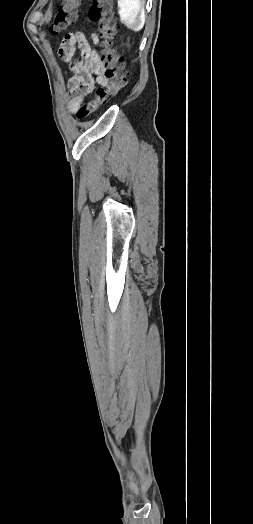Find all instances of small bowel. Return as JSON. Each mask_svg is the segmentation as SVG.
Returning a JSON list of instances; mask_svg holds the SVG:
<instances>
[{
	"label": "small bowel",
	"instance_id": "c3829d8e",
	"mask_svg": "<svg viewBox=\"0 0 253 524\" xmlns=\"http://www.w3.org/2000/svg\"><path fill=\"white\" fill-rule=\"evenodd\" d=\"M95 43L98 42L96 35L92 36ZM62 43L58 49L61 56L70 60L78 45L81 56L72 63L73 77L69 82V96L74 101L85 99L92 93L96 85L106 86L107 79L103 75V63L97 51L91 46L85 35L75 29L70 34L63 36Z\"/></svg>",
	"mask_w": 253,
	"mask_h": 524
}]
</instances>
